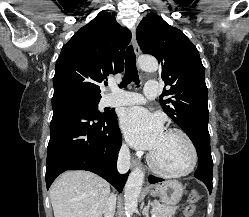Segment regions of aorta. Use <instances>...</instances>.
I'll list each match as a JSON object with an SVG mask.
<instances>
[{"label":"aorta","instance_id":"1","mask_svg":"<svg viewBox=\"0 0 249 217\" xmlns=\"http://www.w3.org/2000/svg\"><path fill=\"white\" fill-rule=\"evenodd\" d=\"M139 67L147 72H155L159 69L158 61L154 57L141 56L138 59ZM144 181V173L141 168H135L129 175L125 185V213L131 217L137 210L138 197Z\"/></svg>","mask_w":249,"mask_h":217}]
</instances>
